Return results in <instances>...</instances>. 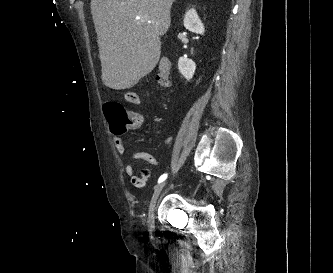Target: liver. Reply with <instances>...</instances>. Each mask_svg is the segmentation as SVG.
I'll return each instance as SVG.
<instances>
[{"label": "liver", "mask_w": 333, "mask_h": 273, "mask_svg": "<svg viewBox=\"0 0 333 273\" xmlns=\"http://www.w3.org/2000/svg\"><path fill=\"white\" fill-rule=\"evenodd\" d=\"M174 0H91L102 81L112 89L133 87L157 65L170 27ZM150 21V22H149Z\"/></svg>", "instance_id": "obj_1"}]
</instances>
